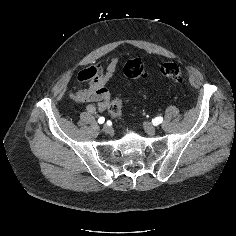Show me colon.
<instances>
[{
	"label": "colon",
	"instance_id": "obj_1",
	"mask_svg": "<svg viewBox=\"0 0 236 236\" xmlns=\"http://www.w3.org/2000/svg\"><path fill=\"white\" fill-rule=\"evenodd\" d=\"M162 75L175 83L183 81V74L180 67L172 62H166L161 66ZM124 74L131 79H138L143 77L145 73L143 63L138 59L129 60L124 66ZM80 100V97H78ZM122 103L119 99H114L108 105V113L111 117L117 118L121 114Z\"/></svg>",
	"mask_w": 236,
	"mask_h": 236
}]
</instances>
